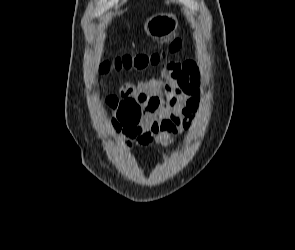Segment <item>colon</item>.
<instances>
[{
  "label": "colon",
  "instance_id": "colon-1",
  "mask_svg": "<svg viewBox=\"0 0 295 250\" xmlns=\"http://www.w3.org/2000/svg\"><path fill=\"white\" fill-rule=\"evenodd\" d=\"M183 46L181 38H176L168 46L166 51L146 54H125L117 56L113 60H106L99 66L100 73H108L111 69H145L157 64L165 58L167 53L178 52ZM107 105L113 110L112 124L116 131L136 128L142 119L143 109L133 98L119 100L111 96L106 100Z\"/></svg>",
  "mask_w": 295,
  "mask_h": 250
}]
</instances>
